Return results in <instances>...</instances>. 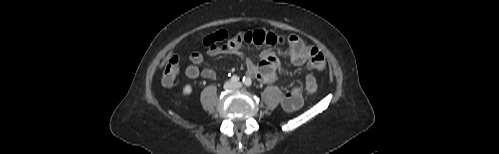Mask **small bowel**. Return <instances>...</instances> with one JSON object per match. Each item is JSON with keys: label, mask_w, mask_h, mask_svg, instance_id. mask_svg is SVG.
<instances>
[{"label": "small bowel", "mask_w": 499, "mask_h": 154, "mask_svg": "<svg viewBox=\"0 0 499 154\" xmlns=\"http://www.w3.org/2000/svg\"><path fill=\"white\" fill-rule=\"evenodd\" d=\"M286 43L290 50V59L294 65L301 66L308 64L316 71H323L326 66L323 53L314 45L306 44L299 36L289 35L287 37L277 36L265 29H247L233 37L220 30L205 37L203 44L206 47V54L214 57L220 54H235L244 59L248 75L264 83H272L277 77L279 60L270 49L262 51L258 61H253L241 52V48L247 44L256 46ZM204 56L200 52H193L190 55L191 64L186 68L185 74L190 79L202 77L208 80H215L216 72L211 68L200 69ZM303 104L302 90L299 86L292 87L282 99V106L287 112L298 110Z\"/></svg>", "instance_id": "small-bowel-1"}]
</instances>
